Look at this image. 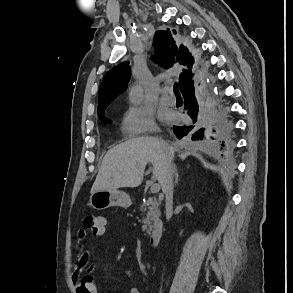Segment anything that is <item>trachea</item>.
I'll use <instances>...</instances> for the list:
<instances>
[{"instance_id": "1", "label": "trachea", "mask_w": 293, "mask_h": 293, "mask_svg": "<svg viewBox=\"0 0 293 293\" xmlns=\"http://www.w3.org/2000/svg\"><path fill=\"white\" fill-rule=\"evenodd\" d=\"M173 90H174V93H175L176 95H180L179 90H178V84H177V83L174 84V86H173Z\"/></svg>"}]
</instances>
